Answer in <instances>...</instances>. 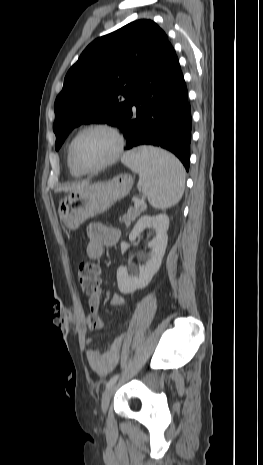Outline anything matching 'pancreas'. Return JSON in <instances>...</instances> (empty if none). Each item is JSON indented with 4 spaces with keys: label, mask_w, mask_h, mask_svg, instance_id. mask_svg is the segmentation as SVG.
Instances as JSON below:
<instances>
[{
    "label": "pancreas",
    "mask_w": 263,
    "mask_h": 465,
    "mask_svg": "<svg viewBox=\"0 0 263 465\" xmlns=\"http://www.w3.org/2000/svg\"><path fill=\"white\" fill-rule=\"evenodd\" d=\"M146 209L144 202L139 206H134L130 208L126 214L119 218L120 222H124L126 226H129L131 222L135 221V219Z\"/></svg>",
    "instance_id": "pancreas-1"
}]
</instances>
